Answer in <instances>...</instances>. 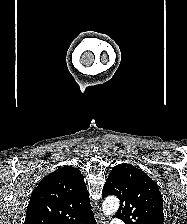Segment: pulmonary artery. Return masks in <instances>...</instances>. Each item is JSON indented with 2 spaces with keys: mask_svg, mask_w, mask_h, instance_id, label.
Wrapping results in <instances>:
<instances>
[{
  "mask_svg": "<svg viewBox=\"0 0 187 224\" xmlns=\"http://www.w3.org/2000/svg\"><path fill=\"white\" fill-rule=\"evenodd\" d=\"M112 224H124V222L120 219H116L112 222Z\"/></svg>",
  "mask_w": 187,
  "mask_h": 224,
  "instance_id": "obj_1",
  "label": "pulmonary artery"
}]
</instances>
